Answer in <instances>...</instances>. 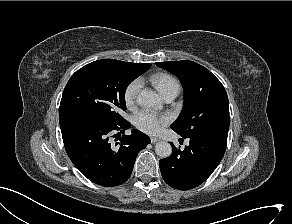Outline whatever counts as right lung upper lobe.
<instances>
[{
	"instance_id": "obj_1",
	"label": "right lung upper lobe",
	"mask_w": 292,
	"mask_h": 224,
	"mask_svg": "<svg viewBox=\"0 0 292 224\" xmlns=\"http://www.w3.org/2000/svg\"><path fill=\"white\" fill-rule=\"evenodd\" d=\"M131 64L134 67V69L141 74L151 67V64H134V63Z\"/></svg>"
}]
</instances>
